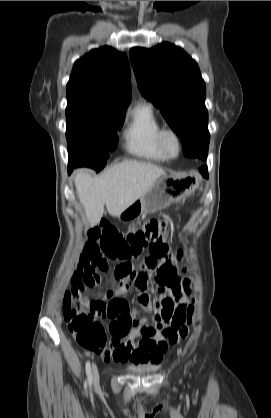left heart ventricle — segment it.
<instances>
[{"instance_id": "obj_1", "label": "left heart ventricle", "mask_w": 271, "mask_h": 418, "mask_svg": "<svg viewBox=\"0 0 271 418\" xmlns=\"http://www.w3.org/2000/svg\"><path fill=\"white\" fill-rule=\"evenodd\" d=\"M166 145L171 152L175 151V148H176L175 142L171 137L167 138Z\"/></svg>"}]
</instances>
